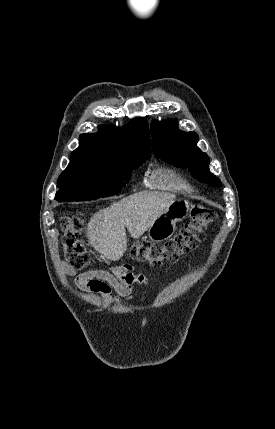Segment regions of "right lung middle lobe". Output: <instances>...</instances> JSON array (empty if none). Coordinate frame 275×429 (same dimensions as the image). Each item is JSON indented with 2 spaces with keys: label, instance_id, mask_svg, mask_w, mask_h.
Returning a JSON list of instances; mask_svg holds the SVG:
<instances>
[{
  "label": "right lung middle lobe",
  "instance_id": "obj_1",
  "mask_svg": "<svg viewBox=\"0 0 275 429\" xmlns=\"http://www.w3.org/2000/svg\"><path fill=\"white\" fill-rule=\"evenodd\" d=\"M150 155L128 154L110 160L70 161L58 178L55 200L86 201L117 194L133 169Z\"/></svg>",
  "mask_w": 275,
  "mask_h": 429
}]
</instances>
